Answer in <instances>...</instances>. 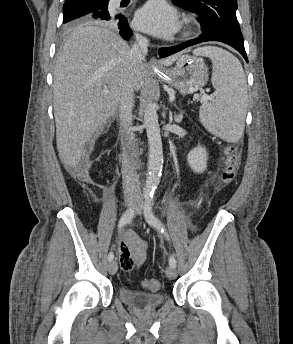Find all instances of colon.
Segmentation results:
<instances>
[{"label": "colon", "mask_w": 293, "mask_h": 344, "mask_svg": "<svg viewBox=\"0 0 293 344\" xmlns=\"http://www.w3.org/2000/svg\"><path fill=\"white\" fill-rule=\"evenodd\" d=\"M225 155V167L222 172L221 179L224 183L228 184L233 181L236 176L239 163H240V152L236 145L230 144L224 148ZM144 286L151 291H155L159 288L160 284L155 279L144 281Z\"/></svg>", "instance_id": "colon-1"}]
</instances>
